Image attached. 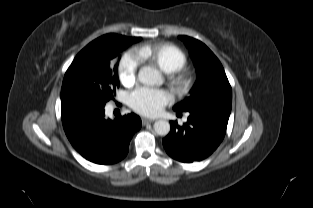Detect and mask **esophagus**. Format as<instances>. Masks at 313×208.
Returning a JSON list of instances; mask_svg holds the SVG:
<instances>
[{
	"mask_svg": "<svg viewBox=\"0 0 313 208\" xmlns=\"http://www.w3.org/2000/svg\"><path fill=\"white\" fill-rule=\"evenodd\" d=\"M155 120L154 119H147V118H142V124L143 125H146L148 123H152L154 122Z\"/></svg>",
	"mask_w": 313,
	"mask_h": 208,
	"instance_id": "esophagus-1",
	"label": "esophagus"
}]
</instances>
